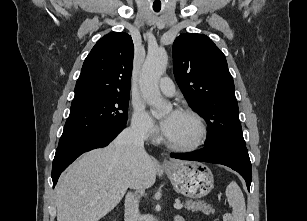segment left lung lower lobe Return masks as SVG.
Returning <instances> with one entry per match:
<instances>
[{"instance_id":"left-lung-lower-lobe-1","label":"left lung lower lobe","mask_w":307,"mask_h":221,"mask_svg":"<svg viewBox=\"0 0 307 221\" xmlns=\"http://www.w3.org/2000/svg\"><path fill=\"white\" fill-rule=\"evenodd\" d=\"M171 157L226 165L237 171L245 179L248 190L250 189L252 166L248 151L246 152L225 144H215L191 153H171Z\"/></svg>"}]
</instances>
